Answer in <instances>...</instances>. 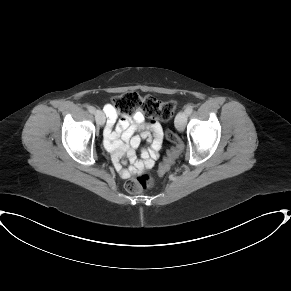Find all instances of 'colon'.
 I'll return each mask as SVG.
<instances>
[{
	"label": "colon",
	"instance_id": "5ec220e1",
	"mask_svg": "<svg viewBox=\"0 0 291 291\" xmlns=\"http://www.w3.org/2000/svg\"><path fill=\"white\" fill-rule=\"evenodd\" d=\"M112 105L121 112L140 111L153 120L161 121L171 119L176 110V104L173 101L162 102L152 95L140 96L136 92H126L114 97ZM166 137L174 141L176 134L168 130ZM168 168V163H161L158 169L159 174L166 173ZM154 182L151 174L144 173L134 179L128 180L125 183V188L130 193L139 194L152 188Z\"/></svg>",
	"mask_w": 291,
	"mask_h": 291
}]
</instances>
